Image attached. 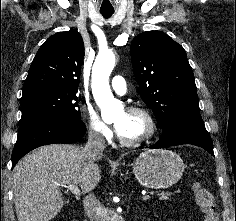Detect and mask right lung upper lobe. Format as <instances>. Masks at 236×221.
Returning <instances> with one entry per match:
<instances>
[{"label":"right lung upper lobe","mask_w":236,"mask_h":221,"mask_svg":"<svg viewBox=\"0 0 236 221\" xmlns=\"http://www.w3.org/2000/svg\"><path fill=\"white\" fill-rule=\"evenodd\" d=\"M83 58L84 44L78 31L50 36L32 61L23 94L38 90L77 92Z\"/></svg>","instance_id":"1"}]
</instances>
